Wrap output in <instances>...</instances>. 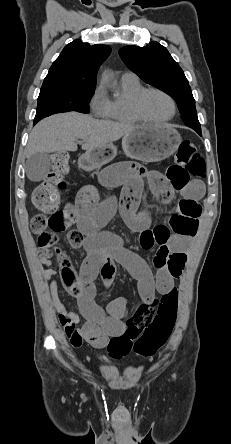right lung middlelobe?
<instances>
[{
	"label": "right lung middle lobe",
	"mask_w": 231,
	"mask_h": 444,
	"mask_svg": "<svg viewBox=\"0 0 231 444\" xmlns=\"http://www.w3.org/2000/svg\"><path fill=\"white\" fill-rule=\"evenodd\" d=\"M95 88H45L40 90L34 124L55 113H88V102Z\"/></svg>",
	"instance_id": "right-lung-middle-lobe-1"
}]
</instances>
